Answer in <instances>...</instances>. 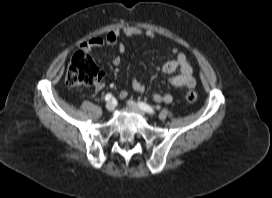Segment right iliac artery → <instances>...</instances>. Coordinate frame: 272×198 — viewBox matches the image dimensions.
<instances>
[{
  "instance_id": "obj_1",
  "label": "right iliac artery",
  "mask_w": 272,
  "mask_h": 198,
  "mask_svg": "<svg viewBox=\"0 0 272 198\" xmlns=\"http://www.w3.org/2000/svg\"><path fill=\"white\" fill-rule=\"evenodd\" d=\"M112 98H113V96L110 93L106 94V96H105L106 101H110Z\"/></svg>"
}]
</instances>
